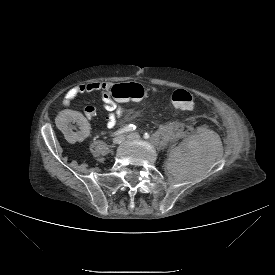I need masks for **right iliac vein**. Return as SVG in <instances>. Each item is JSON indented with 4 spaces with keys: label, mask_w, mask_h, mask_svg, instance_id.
<instances>
[{
    "label": "right iliac vein",
    "mask_w": 275,
    "mask_h": 275,
    "mask_svg": "<svg viewBox=\"0 0 275 275\" xmlns=\"http://www.w3.org/2000/svg\"><path fill=\"white\" fill-rule=\"evenodd\" d=\"M124 140H125V137L120 135L113 139V143L118 145V144H121Z\"/></svg>",
    "instance_id": "right-iliac-vein-1"
}]
</instances>
